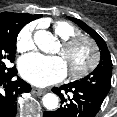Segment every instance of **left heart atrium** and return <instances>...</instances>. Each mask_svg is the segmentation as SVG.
<instances>
[{
	"instance_id": "left-heart-atrium-1",
	"label": "left heart atrium",
	"mask_w": 117,
	"mask_h": 117,
	"mask_svg": "<svg viewBox=\"0 0 117 117\" xmlns=\"http://www.w3.org/2000/svg\"><path fill=\"white\" fill-rule=\"evenodd\" d=\"M20 73L36 86H47L65 78L67 66L60 57L32 53L24 56L19 63Z\"/></svg>"
}]
</instances>
